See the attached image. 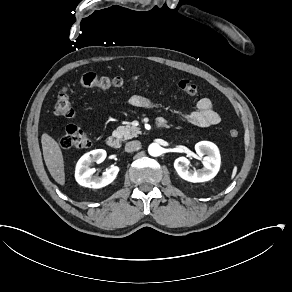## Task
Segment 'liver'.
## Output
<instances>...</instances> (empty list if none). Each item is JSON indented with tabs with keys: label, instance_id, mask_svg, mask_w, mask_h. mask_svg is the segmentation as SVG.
<instances>
[{
	"label": "liver",
	"instance_id": "6515ba94",
	"mask_svg": "<svg viewBox=\"0 0 292 292\" xmlns=\"http://www.w3.org/2000/svg\"><path fill=\"white\" fill-rule=\"evenodd\" d=\"M43 157L53 180L60 186H65V163L59 143L47 133L41 136Z\"/></svg>",
	"mask_w": 292,
	"mask_h": 292
}]
</instances>
